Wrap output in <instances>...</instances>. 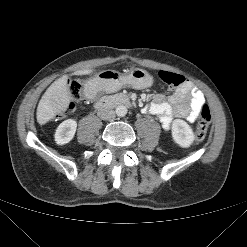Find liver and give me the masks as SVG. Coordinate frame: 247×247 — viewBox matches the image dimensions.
Masks as SVG:
<instances>
[{
    "instance_id": "1",
    "label": "liver",
    "mask_w": 247,
    "mask_h": 247,
    "mask_svg": "<svg viewBox=\"0 0 247 247\" xmlns=\"http://www.w3.org/2000/svg\"><path fill=\"white\" fill-rule=\"evenodd\" d=\"M93 69H83L74 72L75 75H90ZM68 76L63 75L54 81L43 94L37 107V122L45 124L56 115L66 111L71 101V93L67 84Z\"/></svg>"
}]
</instances>
